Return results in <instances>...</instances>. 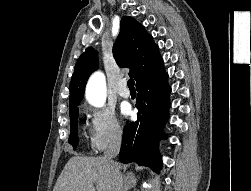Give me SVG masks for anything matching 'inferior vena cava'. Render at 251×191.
Returning <instances> with one entry per match:
<instances>
[{
  "mask_svg": "<svg viewBox=\"0 0 251 191\" xmlns=\"http://www.w3.org/2000/svg\"><path fill=\"white\" fill-rule=\"evenodd\" d=\"M121 139H122V129H120V127H116L114 135H112L110 143L107 149H105L104 151L103 159H106V161H112V157L118 155L121 147ZM116 181L118 183L116 191H125L122 175H120V173L116 175Z\"/></svg>",
  "mask_w": 251,
  "mask_h": 191,
  "instance_id": "1",
  "label": "inferior vena cava"
}]
</instances>
